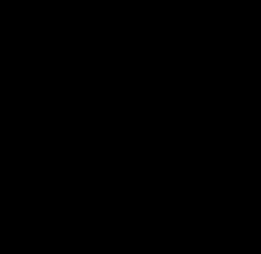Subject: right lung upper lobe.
I'll list each match as a JSON object with an SVG mask.
<instances>
[{"label":"right lung upper lobe","instance_id":"1","mask_svg":"<svg viewBox=\"0 0 261 254\" xmlns=\"http://www.w3.org/2000/svg\"><path fill=\"white\" fill-rule=\"evenodd\" d=\"M78 89H66L56 97L52 107L51 113L48 121V126L46 128V138L50 137L56 132L61 131L62 129L71 128L78 131L81 130V124L78 120L74 118L65 117L60 112V106L62 105L65 97Z\"/></svg>","mask_w":261,"mask_h":254}]
</instances>
